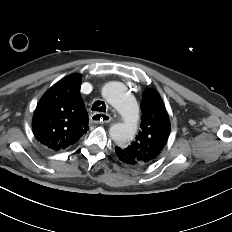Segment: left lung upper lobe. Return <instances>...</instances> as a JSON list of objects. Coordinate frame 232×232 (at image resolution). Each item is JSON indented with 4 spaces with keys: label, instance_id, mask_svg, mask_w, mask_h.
<instances>
[{
    "label": "left lung upper lobe",
    "instance_id": "left-lung-upper-lobe-1",
    "mask_svg": "<svg viewBox=\"0 0 232 232\" xmlns=\"http://www.w3.org/2000/svg\"><path fill=\"white\" fill-rule=\"evenodd\" d=\"M141 130L135 141L119 148L133 160V166H145L160 156L170 134V120L159 93L147 89L142 94Z\"/></svg>",
    "mask_w": 232,
    "mask_h": 232
}]
</instances>
